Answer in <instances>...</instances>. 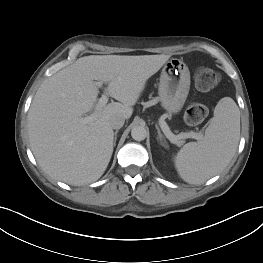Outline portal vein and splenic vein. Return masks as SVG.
Returning <instances> with one entry per match:
<instances>
[{
    "label": "portal vein and splenic vein",
    "mask_w": 263,
    "mask_h": 263,
    "mask_svg": "<svg viewBox=\"0 0 263 263\" xmlns=\"http://www.w3.org/2000/svg\"><path fill=\"white\" fill-rule=\"evenodd\" d=\"M96 86L98 87H102L103 82H96L95 83ZM108 96L107 94H103L101 96V98L98 100L95 109L97 111L101 110L104 106H106L107 102H108ZM96 116L95 114H91L89 116L83 117L81 118V122L85 123V124H89L91 122H93L95 120ZM159 125L162 129V131L164 132V134L166 135V137L174 144H176V142L178 141V139H180L182 136L181 135H175L171 132L170 128L168 127V125L166 124V122L164 120H159ZM185 138H193L196 140H201L202 136L199 133L196 132H188V133H184L183 134Z\"/></svg>",
    "instance_id": "1"
}]
</instances>
